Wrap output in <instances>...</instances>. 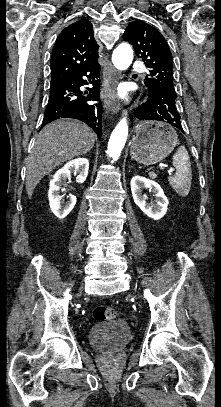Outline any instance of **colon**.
Returning a JSON list of instances; mask_svg holds the SVG:
<instances>
[{
  "instance_id": "1",
  "label": "colon",
  "mask_w": 221,
  "mask_h": 407,
  "mask_svg": "<svg viewBox=\"0 0 221 407\" xmlns=\"http://www.w3.org/2000/svg\"><path fill=\"white\" fill-rule=\"evenodd\" d=\"M93 316L96 321L114 320L116 312L113 308L107 306H97L94 308Z\"/></svg>"
}]
</instances>
